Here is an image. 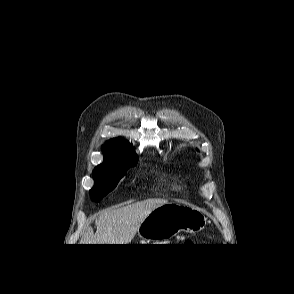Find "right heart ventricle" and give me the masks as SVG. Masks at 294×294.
Listing matches in <instances>:
<instances>
[{
  "mask_svg": "<svg viewBox=\"0 0 294 294\" xmlns=\"http://www.w3.org/2000/svg\"><path fill=\"white\" fill-rule=\"evenodd\" d=\"M170 189L178 191L181 189V187H180V185H178L177 183L174 182L171 184Z\"/></svg>",
  "mask_w": 294,
  "mask_h": 294,
  "instance_id": "e07e8e85",
  "label": "right heart ventricle"
}]
</instances>
